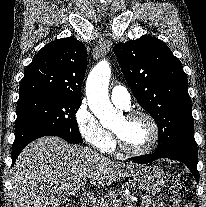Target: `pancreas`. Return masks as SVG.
<instances>
[{
  "mask_svg": "<svg viewBox=\"0 0 206 207\" xmlns=\"http://www.w3.org/2000/svg\"><path fill=\"white\" fill-rule=\"evenodd\" d=\"M122 192H110L108 195H105L101 200H99L93 207H135L133 202L126 200L122 196Z\"/></svg>",
  "mask_w": 206,
  "mask_h": 207,
  "instance_id": "pancreas-1",
  "label": "pancreas"
}]
</instances>
